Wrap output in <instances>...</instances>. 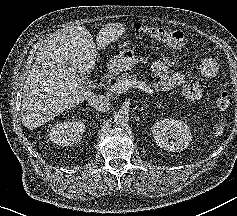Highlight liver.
I'll return each instance as SVG.
<instances>
[{
  "instance_id": "6515ba94",
  "label": "liver",
  "mask_w": 237,
  "mask_h": 216,
  "mask_svg": "<svg viewBox=\"0 0 237 216\" xmlns=\"http://www.w3.org/2000/svg\"><path fill=\"white\" fill-rule=\"evenodd\" d=\"M47 40L40 59L28 74L23 90L22 116L31 129L74 109L94 93L78 85V75L93 72L98 57L85 26H73Z\"/></svg>"
}]
</instances>
